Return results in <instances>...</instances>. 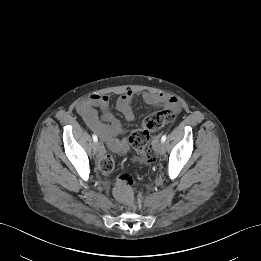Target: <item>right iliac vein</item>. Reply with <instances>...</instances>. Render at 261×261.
<instances>
[{"label":"right iliac vein","instance_id":"63e3f726","mask_svg":"<svg viewBox=\"0 0 261 261\" xmlns=\"http://www.w3.org/2000/svg\"><path fill=\"white\" fill-rule=\"evenodd\" d=\"M100 149V144L98 142L93 143V151L96 153Z\"/></svg>","mask_w":261,"mask_h":261}]
</instances>
